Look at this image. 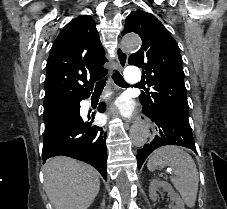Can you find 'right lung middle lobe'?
Returning <instances> with one entry per match:
<instances>
[{
    "instance_id": "obj_1",
    "label": "right lung middle lobe",
    "mask_w": 227,
    "mask_h": 209,
    "mask_svg": "<svg viewBox=\"0 0 227 209\" xmlns=\"http://www.w3.org/2000/svg\"><path fill=\"white\" fill-rule=\"evenodd\" d=\"M77 106V102H68L44 107L45 130L70 115Z\"/></svg>"
}]
</instances>
